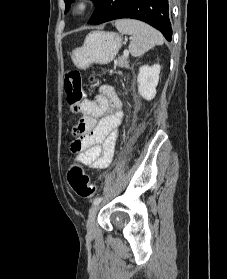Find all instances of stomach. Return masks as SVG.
<instances>
[{
	"label": "stomach",
	"instance_id": "obj_1",
	"mask_svg": "<svg viewBox=\"0 0 227 279\" xmlns=\"http://www.w3.org/2000/svg\"><path fill=\"white\" fill-rule=\"evenodd\" d=\"M122 38L113 32L93 31L84 40L81 47L71 53L73 63L80 69H86L91 64H108L119 52Z\"/></svg>",
	"mask_w": 227,
	"mask_h": 279
}]
</instances>
